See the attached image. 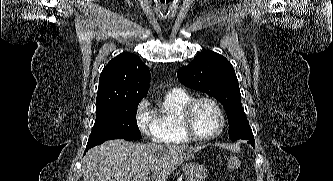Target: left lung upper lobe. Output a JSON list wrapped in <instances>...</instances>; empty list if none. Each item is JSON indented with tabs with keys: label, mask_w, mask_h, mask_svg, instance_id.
Masks as SVG:
<instances>
[{
	"label": "left lung upper lobe",
	"mask_w": 333,
	"mask_h": 181,
	"mask_svg": "<svg viewBox=\"0 0 333 181\" xmlns=\"http://www.w3.org/2000/svg\"><path fill=\"white\" fill-rule=\"evenodd\" d=\"M186 87L202 91L216 98L227 112L229 137L254 142L253 133L241 105L238 80L232 64L213 51H203L177 72Z\"/></svg>",
	"instance_id": "5c2ea615"
}]
</instances>
